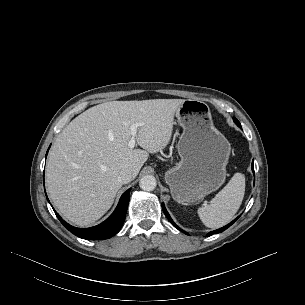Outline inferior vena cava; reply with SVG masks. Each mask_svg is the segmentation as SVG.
<instances>
[{"label":"inferior vena cava","instance_id":"1","mask_svg":"<svg viewBox=\"0 0 305 305\" xmlns=\"http://www.w3.org/2000/svg\"><path fill=\"white\" fill-rule=\"evenodd\" d=\"M135 177V173L130 169H123L119 172L118 181L122 184L131 182Z\"/></svg>","mask_w":305,"mask_h":305}]
</instances>
